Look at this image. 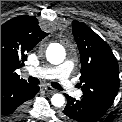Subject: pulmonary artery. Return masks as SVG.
I'll return each mask as SVG.
<instances>
[{
  "label": "pulmonary artery",
  "mask_w": 122,
  "mask_h": 122,
  "mask_svg": "<svg viewBox=\"0 0 122 122\" xmlns=\"http://www.w3.org/2000/svg\"><path fill=\"white\" fill-rule=\"evenodd\" d=\"M74 63L71 60H67L62 64L54 67H38L29 70V74L41 78L58 79L60 85L68 94L78 97L81 95V91L76 89L72 81L70 80V74L73 70Z\"/></svg>",
  "instance_id": "pulmonary-artery-1"
}]
</instances>
